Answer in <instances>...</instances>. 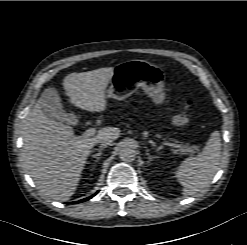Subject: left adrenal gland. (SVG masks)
I'll return each instance as SVG.
<instances>
[{
    "mask_svg": "<svg viewBox=\"0 0 247 245\" xmlns=\"http://www.w3.org/2000/svg\"><path fill=\"white\" fill-rule=\"evenodd\" d=\"M146 155H147V158H148V163L153 160L154 158H156V156H152L150 155L149 153V149L146 147Z\"/></svg>",
    "mask_w": 247,
    "mask_h": 245,
    "instance_id": "left-adrenal-gland-1",
    "label": "left adrenal gland"
}]
</instances>
